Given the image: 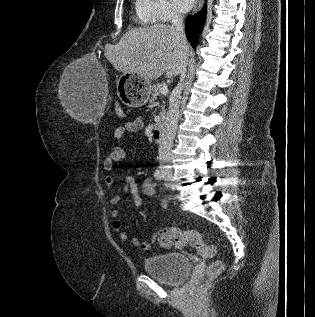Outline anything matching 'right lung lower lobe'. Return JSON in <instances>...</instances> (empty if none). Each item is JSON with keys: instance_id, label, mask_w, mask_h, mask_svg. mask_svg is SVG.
Here are the masks:
<instances>
[{"instance_id": "98d812e1", "label": "right lung lower lobe", "mask_w": 315, "mask_h": 317, "mask_svg": "<svg viewBox=\"0 0 315 317\" xmlns=\"http://www.w3.org/2000/svg\"><path fill=\"white\" fill-rule=\"evenodd\" d=\"M206 9L203 8L199 13L194 16L189 15L185 23V31L187 39L193 48L196 47L198 42V35L201 33L204 20H205Z\"/></svg>"}]
</instances>
